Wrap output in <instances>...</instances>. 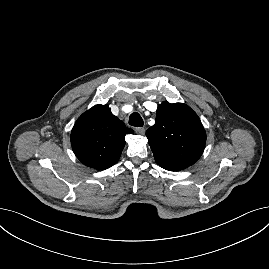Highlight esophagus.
I'll list each match as a JSON object with an SVG mask.
<instances>
[{
	"instance_id": "1",
	"label": "esophagus",
	"mask_w": 269,
	"mask_h": 269,
	"mask_svg": "<svg viewBox=\"0 0 269 269\" xmlns=\"http://www.w3.org/2000/svg\"><path fill=\"white\" fill-rule=\"evenodd\" d=\"M135 132L138 133V134H140V135H144L145 129L143 127H137L135 129Z\"/></svg>"
}]
</instances>
